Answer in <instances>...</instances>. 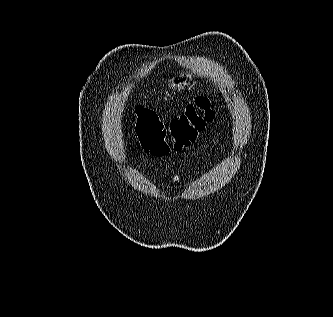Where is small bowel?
I'll list each match as a JSON object with an SVG mask.
<instances>
[{
  "instance_id": "obj_1",
  "label": "small bowel",
  "mask_w": 333,
  "mask_h": 317,
  "mask_svg": "<svg viewBox=\"0 0 333 317\" xmlns=\"http://www.w3.org/2000/svg\"><path fill=\"white\" fill-rule=\"evenodd\" d=\"M179 179V176L177 174H175L173 177H172V181L173 183H176Z\"/></svg>"
}]
</instances>
